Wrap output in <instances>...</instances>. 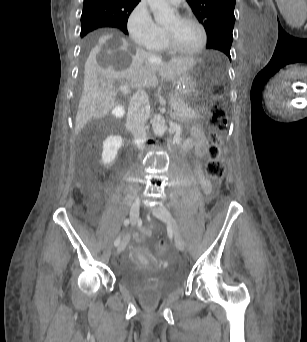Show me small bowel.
Listing matches in <instances>:
<instances>
[{"label": "small bowel", "instance_id": "1", "mask_svg": "<svg viewBox=\"0 0 307 342\" xmlns=\"http://www.w3.org/2000/svg\"><path fill=\"white\" fill-rule=\"evenodd\" d=\"M209 146L208 138L206 137L204 131L201 129L199 125H194L191 129V136L187 138L184 142L183 148L184 150H190L192 148L195 149V153L198 157H203L206 154V151ZM194 173L198 178L202 187L209 192V181L204 176L203 171L200 165L196 162L194 166ZM151 228H141L140 235L133 234V239L137 243H142L147 237L151 235Z\"/></svg>", "mask_w": 307, "mask_h": 342}]
</instances>
